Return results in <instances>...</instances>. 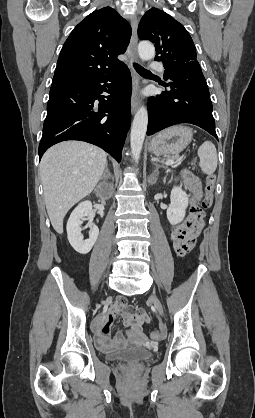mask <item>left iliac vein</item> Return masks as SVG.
<instances>
[{"label":"left iliac vein","mask_w":255,"mask_h":418,"mask_svg":"<svg viewBox=\"0 0 255 418\" xmlns=\"http://www.w3.org/2000/svg\"><path fill=\"white\" fill-rule=\"evenodd\" d=\"M151 299H152V301L154 303V306H155L157 312L159 313V315L163 316L164 315V310H163L162 304L159 301V299L154 295L151 296Z\"/></svg>","instance_id":"left-iliac-vein-1"}]
</instances>
